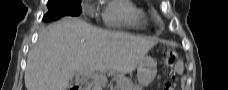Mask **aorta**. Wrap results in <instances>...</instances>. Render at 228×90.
I'll list each match as a JSON object with an SVG mask.
<instances>
[{"mask_svg": "<svg viewBox=\"0 0 228 90\" xmlns=\"http://www.w3.org/2000/svg\"><path fill=\"white\" fill-rule=\"evenodd\" d=\"M96 90H101V86L100 85H96Z\"/></svg>", "mask_w": 228, "mask_h": 90, "instance_id": "aorta-1", "label": "aorta"}]
</instances>
